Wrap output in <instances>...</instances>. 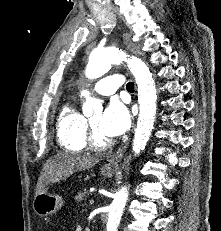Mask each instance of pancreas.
<instances>
[{
    "label": "pancreas",
    "instance_id": "cf45deb5",
    "mask_svg": "<svg viewBox=\"0 0 221 231\" xmlns=\"http://www.w3.org/2000/svg\"><path fill=\"white\" fill-rule=\"evenodd\" d=\"M87 194H88V191L84 189L83 191L78 192V194L75 197V200L77 202L86 201Z\"/></svg>",
    "mask_w": 221,
    "mask_h": 231
}]
</instances>
